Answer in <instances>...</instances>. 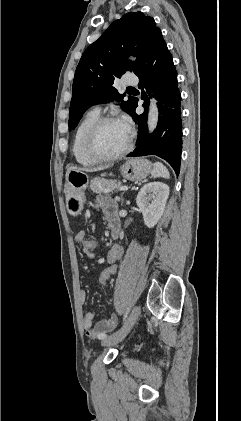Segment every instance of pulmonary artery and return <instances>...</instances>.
<instances>
[{
	"instance_id": "e3ab8cb5",
	"label": "pulmonary artery",
	"mask_w": 241,
	"mask_h": 421,
	"mask_svg": "<svg viewBox=\"0 0 241 421\" xmlns=\"http://www.w3.org/2000/svg\"><path fill=\"white\" fill-rule=\"evenodd\" d=\"M138 83V78L135 76H131V77H126L124 79V85L126 86H132V85H136ZM94 111L99 112V108L96 106L93 108Z\"/></svg>"
}]
</instances>
